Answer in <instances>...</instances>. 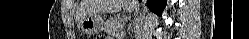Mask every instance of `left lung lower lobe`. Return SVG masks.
Masks as SVG:
<instances>
[{"instance_id": "left-lung-lower-lobe-1", "label": "left lung lower lobe", "mask_w": 249, "mask_h": 39, "mask_svg": "<svg viewBox=\"0 0 249 39\" xmlns=\"http://www.w3.org/2000/svg\"><path fill=\"white\" fill-rule=\"evenodd\" d=\"M165 4H166V0H150L148 2L149 8L159 15L163 11Z\"/></svg>"}]
</instances>
